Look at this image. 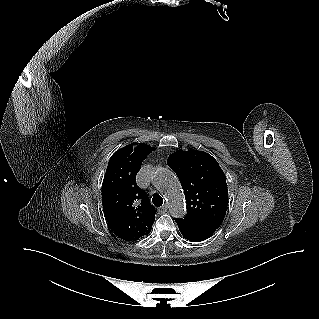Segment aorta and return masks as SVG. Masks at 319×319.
<instances>
[{
	"label": "aorta",
	"instance_id": "1",
	"mask_svg": "<svg viewBox=\"0 0 319 319\" xmlns=\"http://www.w3.org/2000/svg\"><path fill=\"white\" fill-rule=\"evenodd\" d=\"M152 182L163 192L171 216L182 218L186 214V208L182 200L179 182L174 173L167 168L159 167L152 174Z\"/></svg>",
	"mask_w": 319,
	"mask_h": 319
}]
</instances>
